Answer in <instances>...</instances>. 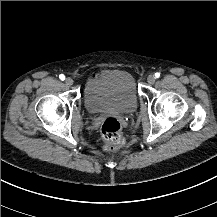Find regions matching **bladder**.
<instances>
[{"instance_id": "obj_1", "label": "bladder", "mask_w": 217, "mask_h": 217, "mask_svg": "<svg viewBox=\"0 0 217 217\" xmlns=\"http://www.w3.org/2000/svg\"><path fill=\"white\" fill-rule=\"evenodd\" d=\"M85 101L92 113L110 110L129 114L137 107L138 95L132 76L115 70L87 81Z\"/></svg>"}]
</instances>
